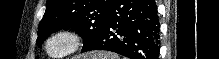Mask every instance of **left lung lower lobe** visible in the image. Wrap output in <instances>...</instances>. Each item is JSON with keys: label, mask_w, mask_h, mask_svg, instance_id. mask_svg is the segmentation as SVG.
Wrapping results in <instances>:
<instances>
[{"label": "left lung lower lobe", "mask_w": 219, "mask_h": 59, "mask_svg": "<svg viewBox=\"0 0 219 59\" xmlns=\"http://www.w3.org/2000/svg\"><path fill=\"white\" fill-rule=\"evenodd\" d=\"M159 39L154 0H114L100 34L82 52L107 50L129 59H158Z\"/></svg>", "instance_id": "1"}]
</instances>
